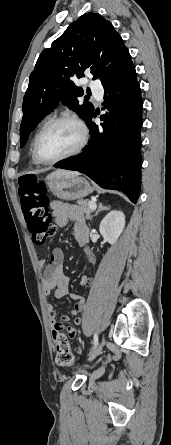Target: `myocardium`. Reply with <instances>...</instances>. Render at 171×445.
<instances>
[{
  "label": "myocardium",
  "mask_w": 171,
  "mask_h": 445,
  "mask_svg": "<svg viewBox=\"0 0 171 445\" xmlns=\"http://www.w3.org/2000/svg\"><path fill=\"white\" fill-rule=\"evenodd\" d=\"M58 122H69L74 124L80 133V140L77 144V146L70 152H68L67 154L58 157L56 159L53 160H45L43 159L38 151V144H39V140L42 136V134L44 133V131L52 124L54 123H58ZM88 141V130L86 125L84 124V122L79 119L78 117L74 116V115H69V114H63V115H58V116H54L52 118H50L49 120H47L42 127L39 129L38 133L35 136L34 142H33V157L35 158V160L37 161V163L43 164V165H53L56 164L58 162H61L63 160H66L68 158L74 157L77 154H79L83 148L86 146Z\"/></svg>",
  "instance_id": "obj_1"
}]
</instances>
